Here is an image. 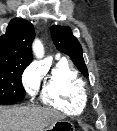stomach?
<instances>
[{"mask_svg":"<svg viewBox=\"0 0 117 131\" xmlns=\"http://www.w3.org/2000/svg\"><path fill=\"white\" fill-rule=\"evenodd\" d=\"M44 131H75V127L70 121L58 120L51 123Z\"/></svg>","mask_w":117,"mask_h":131,"instance_id":"stomach-1","label":"stomach"}]
</instances>
